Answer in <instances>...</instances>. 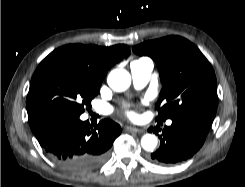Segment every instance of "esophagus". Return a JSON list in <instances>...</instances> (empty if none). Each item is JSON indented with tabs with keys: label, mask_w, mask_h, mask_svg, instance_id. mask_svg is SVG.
Here are the masks:
<instances>
[{
	"label": "esophagus",
	"mask_w": 245,
	"mask_h": 187,
	"mask_svg": "<svg viewBox=\"0 0 245 187\" xmlns=\"http://www.w3.org/2000/svg\"><path fill=\"white\" fill-rule=\"evenodd\" d=\"M125 131H128V132H133V133H138V132H142L143 129L141 128H137V127H130V126H126L124 128Z\"/></svg>",
	"instance_id": "esophagus-1"
}]
</instances>
